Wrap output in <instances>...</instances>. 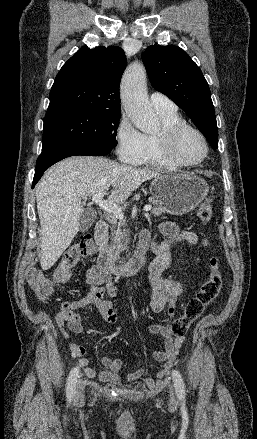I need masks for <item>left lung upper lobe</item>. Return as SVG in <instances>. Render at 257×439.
I'll list each match as a JSON object with an SVG mask.
<instances>
[{
	"label": "left lung upper lobe",
	"mask_w": 257,
	"mask_h": 439,
	"mask_svg": "<svg viewBox=\"0 0 257 439\" xmlns=\"http://www.w3.org/2000/svg\"><path fill=\"white\" fill-rule=\"evenodd\" d=\"M142 60L152 86L179 105L217 149L218 130L210 89L196 63L174 45H151L142 53Z\"/></svg>",
	"instance_id": "1"
}]
</instances>
